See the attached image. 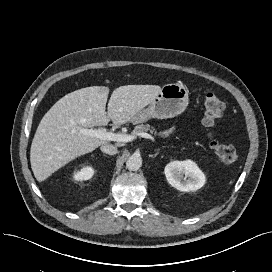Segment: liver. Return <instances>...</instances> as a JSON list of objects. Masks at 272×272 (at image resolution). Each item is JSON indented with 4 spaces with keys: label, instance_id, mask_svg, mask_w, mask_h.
<instances>
[{
    "label": "liver",
    "instance_id": "liver-1",
    "mask_svg": "<svg viewBox=\"0 0 272 272\" xmlns=\"http://www.w3.org/2000/svg\"><path fill=\"white\" fill-rule=\"evenodd\" d=\"M161 91L158 85H125L115 89L106 103L109 88L91 86L59 99L44 115L34 135L30 163L38 182L75 158L107 143L81 133V129L130 122Z\"/></svg>",
    "mask_w": 272,
    "mask_h": 272
}]
</instances>
